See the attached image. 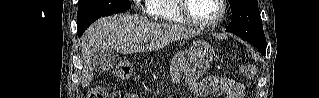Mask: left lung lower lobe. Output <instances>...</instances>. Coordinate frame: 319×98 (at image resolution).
I'll return each instance as SVG.
<instances>
[{
  "label": "left lung lower lobe",
  "mask_w": 319,
  "mask_h": 98,
  "mask_svg": "<svg viewBox=\"0 0 319 98\" xmlns=\"http://www.w3.org/2000/svg\"><path fill=\"white\" fill-rule=\"evenodd\" d=\"M263 55L265 54L266 52V48H257Z\"/></svg>",
  "instance_id": "0a47b994"
}]
</instances>
